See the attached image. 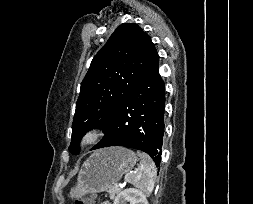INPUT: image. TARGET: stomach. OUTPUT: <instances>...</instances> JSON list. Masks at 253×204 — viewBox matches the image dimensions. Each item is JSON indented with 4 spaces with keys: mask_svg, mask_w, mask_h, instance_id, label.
<instances>
[{
    "mask_svg": "<svg viewBox=\"0 0 253 204\" xmlns=\"http://www.w3.org/2000/svg\"><path fill=\"white\" fill-rule=\"evenodd\" d=\"M136 154L124 147H110L94 152L82 165L72 198L107 191L136 164Z\"/></svg>",
    "mask_w": 253,
    "mask_h": 204,
    "instance_id": "stomach-1",
    "label": "stomach"
}]
</instances>
